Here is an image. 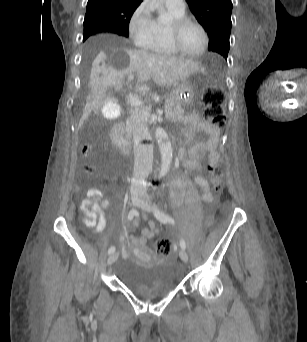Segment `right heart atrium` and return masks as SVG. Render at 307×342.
<instances>
[{"label":"right heart atrium","instance_id":"1","mask_svg":"<svg viewBox=\"0 0 307 342\" xmlns=\"http://www.w3.org/2000/svg\"><path fill=\"white\" fill-rule=\"evenodd\" d=\"M157 25L143 6L138 7L128 20V37L135 45H142L154 38Z\"/></svg>","mask_w":307,"mask_h":342}]
</instances>
